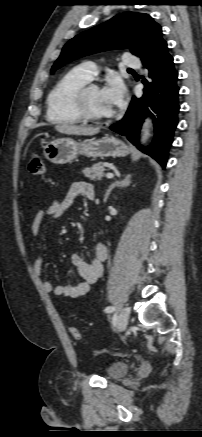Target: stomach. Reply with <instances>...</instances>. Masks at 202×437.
<instances>
[{
  "label": "stomach",
  "instance_id": "0dacf381",
  "mask_svg": "<svg viewBox=\"0 0 202 437\" xmlns=\"http://www.w3.org/2000/svg\"><path fill=\"white\" fill-rule=\"evenodd\" d=\"M44 157L56 164H65L74 160L78 155L88 157H125L129 154V147L114 137L89 139L76 142L70 138H61L47 143L43 147Z\"/></svg>",
  "mask_w": 202,
  "mask_h": 437
}]
</instances>
